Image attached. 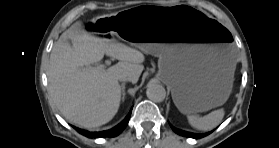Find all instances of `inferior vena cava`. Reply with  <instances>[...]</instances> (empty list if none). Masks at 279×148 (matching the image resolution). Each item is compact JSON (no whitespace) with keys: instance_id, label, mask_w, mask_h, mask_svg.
<instances>
[{"instance_id":"602c4592","label":"inferior vena cava","mask_w":279,"mask_h":148,"mask_svg":"<svg viewBox=\"0 0 279 148\" xmlns=\"http://www.w3.org/2000/svg\"><path fill=\"white\" fill-rule=\"evenodd\" d=\"M119 80L120 81H129L130 79L128 77H126V76H120Z\"/></svg>"}]
</instances>
